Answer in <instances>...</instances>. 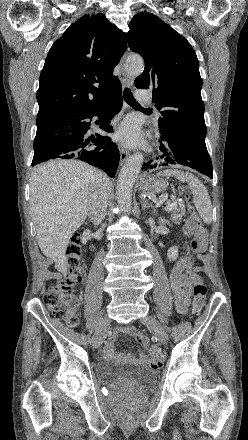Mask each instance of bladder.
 Here are the masks:
<instances>
[{"instance_id":"obj_1","label":"bladder","mask_w":248,"mask_h":440,"mask_svg":"<svg viewBox=\"0 0 248 440\" xmlns=\"http://www.w3.org/2000/svg\"><path fill=\"white\" fill-rule=\"evenodd\" d=\"M98 379L117 391L139 392L151 387L156 381V372L148 367L101 362L96 366Z\"/></svg>"}]
</instances>
